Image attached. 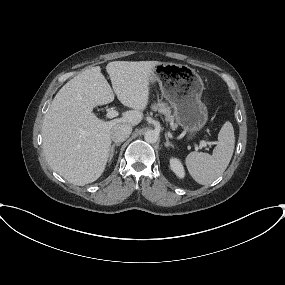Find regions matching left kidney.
<instances>
[{
  "instance_id": "left-kidney-1",
  "label": "left kidney",
  "mask_w": 285,
  "mask_h": 285,
  "mask_svg": "<svg viewBox=\"0 0 285 285\" xmlns=\"http://www.w3.org/2000/svg\"><path fill=\"white\" fill-rule=\"evenodd\" d=\"M170 167L171 170L179 177L184 178L185 177V170L181 163V161L177 158L172 157L170 159Z\"/></svg>"
}]
</instances>
